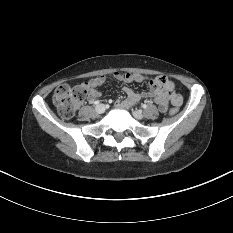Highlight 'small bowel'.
I'll use <instances>...</instances> for the list:
<instances>
[{
  "mask_svg": "<svg viewBox=\"0 0 233 233\" xmlns=\"http://www.w3.org/2000/svg\"><path fill=\"white\" fill-rule=\"evenodd\" d=\"M112 76L118 80L125 83L137 82L142 83L148 81L150 86V91L136 93L129 87H124L123 92L126 97L124 99H119L115 102L117 108L128 109L132 105L138 103L142 98H153L154 103L158 106L161 112H166L169 107V101L173 105L180 106L182 103L181 96L176 92L177 85L175 82H171L165 76H158L154 79H149L142 74H122L115 72ZM106 82L105 76H98L90 80L85 86L87 87V99L93 102L97 97L100 96L99 88ZM170 89V91H169ZM177 99V100H176Z\"/></svg>",
  "mask_w": 233,
  "mask_h": 233,
  "instance_id": "c3829d8e",
  "label": "small bowel"
}]
</instances>
